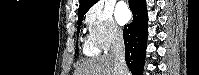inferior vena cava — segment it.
I'll return each instance as SVG.
<instances>
[{"mask_svg": "<svg viewBox=\"0 0 199 75\" xmlns=\"http://www.w3.org/2000/svg\"><path fill=\"white\" fill-rule=\"evenodd\" d=\"M111 55L114 57L115 61V74L116 75H126L127 67L125 63V48L124 39L121 31L114 30L112 34V46Z\"/></svg>", "mask_w": 199, "mask_h": 75, "instance_id": "inferior-vena-cava-1", "label": "inferior vena cava"}]
</instances>
